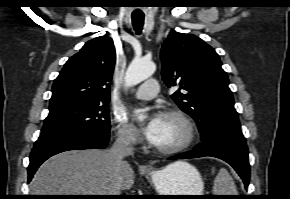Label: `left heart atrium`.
Wrapping results in <instances>:
<instances>
[{
  "label": "left heart atrium",
  "mask_w": 290,
  "mask_h": 199,
  "mask_svg": "<svg viewBox=\"0 0 290 199\" xmlns=\"http://www.w3.org/2000/svg\"><path fill=\"white\" fill-rule=\"evenodd\" d=\"M160 123V116L151 117L143 127V133L145 137L152 143L157 135L158 127Z\"/></svg>",
  "instance_id": "obj_1"
}]
</instances>
